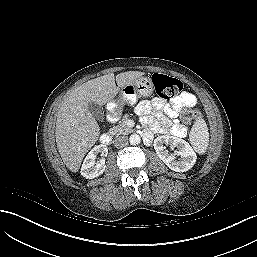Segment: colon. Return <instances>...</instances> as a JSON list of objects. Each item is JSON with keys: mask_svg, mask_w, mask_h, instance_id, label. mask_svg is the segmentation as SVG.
<instances>
[{"mask_svg": "<svg viewBox=\"0 0 257 257\" xmlns=\"http://www.w3.org/2000/svg\"><path fill=\"white\" fill-rule=\"evenodd\" d=\"M152 82L157 95L163 99H169L179 94L182 90V83L176 78L169 77L164 74H154ZM200 116L197 109L186 108L181 113V118L184 122L189 123Z\"/></svg>", "mask_w": 257, "mask_h": 257, "instance_id": "5ec220e1", "label": "colon"}]
</instances>
